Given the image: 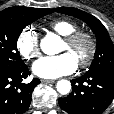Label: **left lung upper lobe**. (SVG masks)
Segmentation results:
<instances>
[{"label": "left lung upper lobe", "instance_id": "5c2ea615", "mask_svg": "<svg viewBox=\"0 0 114 114\" xmlns=\"http://www.w3.org/2000/svg\"><path fill=\"white\" fill-rule=\"evenodd\" d=\"M54 10L82 19L96 34V52L88 72L114 70V45L103 24L94 16L76 8L60 7Z\"/></svg>", "mask_w": 114, "mask_h": 114}]
</instances>
